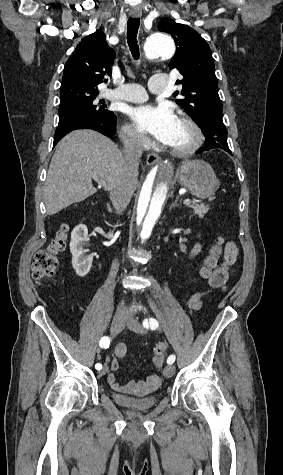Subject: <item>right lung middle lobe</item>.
Returning a JSON list of instances; mask_svg holds the SVG:
<instances>
[{"label": "right lung middle lobe", "instance_id": "1", "mask_svg": "<svg viewBox=\"0 0 283 475\" xmlns=\"http://www.w3.org/2000/svg\"><path fill=\"white\" fill-rule=\"evenodd\" d=\"M97 95L98 93L61 92L59 115L73 111H82L97 119L112 118L114 115L112 111L106 110L104 106L95 104ZM100 103H102L101 100Z\"/></svg>", "mask_w": 283, "mask_h": 475}]
</instances>
